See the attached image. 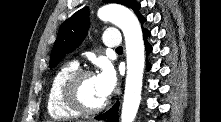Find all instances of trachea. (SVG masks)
<instances>
[{
    "label": "trachea",
    "mask_w": 221,
    "mask_h": 122,
    "mask_svg": "<svg viewBox=\"0 0 221 122\" xmlns=\"http://www.w3.org/2000/svg\"><path fill=\"white\" fill-rule=\"evenodd\" d=\"M116 50H123V48H122V46H120Z\"/></svg>",
    "instance_id": "trachea-1"
}]
</instances>
